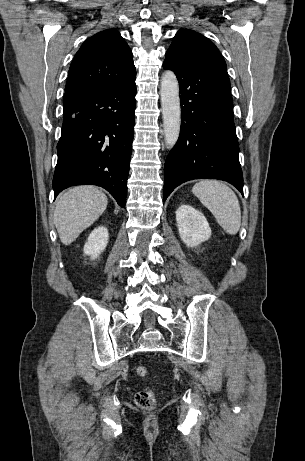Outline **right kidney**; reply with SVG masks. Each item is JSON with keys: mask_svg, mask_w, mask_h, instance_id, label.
<instances>
[{"mask_svg": "<svg viewBox=\"0 0 305 461\" xmlns=\"http://www.w3.org/2000/svg\"><path fill=\"white\" fill-rule=\"evenodd\" d=\"M108 239L109 234L106 227L100 226L94 229L84 245V254L90 256L91 259L97 258L105 250Z\"/></svg>", "mask_w": 305, "mask_h": 461, "instance_id": "obj_1", "label": "right kidney"}]
</instances>
